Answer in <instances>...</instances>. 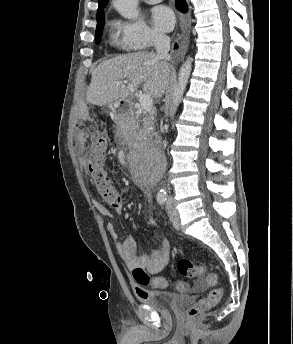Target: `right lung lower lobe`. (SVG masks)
<instances>
[{
  "label": "right lung lower lobe",
  "mask_w": 293,
  "mask_h": 344,
  "mask_svg": "<svg viewBox=\"0 0 293 344\" xmlns=\"http://www.w3.org/2000/svg\"><path fill=\"white\" fill-rule=\"evenodd\" d=\"M176 6L181 11H185L187 9L185 0H176Z\"/></svg>",
  "instance_id": "1"
}]
</instances>
